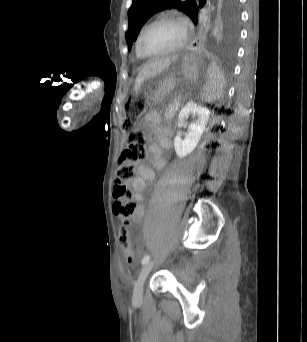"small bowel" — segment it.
Masks as SVG:
<instances>
[{"label": "small bowel", "instance_id": "small-bowel-1", "mask_svg": "<svg viewBox=\"0 0 307 342\" xmlns=\"http://www.w3.org/2000/svg\"><path fill=\"white\" fill-rule=\"evenodd\" d=\"M145 125L153 132L158 139L160 146L151 143L148 147L147 162L155 169H163L165 167V160L162 156L163 151L170 147V131L163 128L157 122L154 114L146 115L144 119ZM155 180V173L152 168L145 162L137 164V175L130 181L132 189V198L136 203V208L132 216L134 223H139L144 217L146 208L144 205V190L148 181Z\"/></svg>", "mask_w": 307, "mask_h": 342}]
</instances>
